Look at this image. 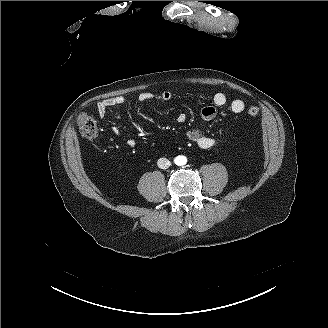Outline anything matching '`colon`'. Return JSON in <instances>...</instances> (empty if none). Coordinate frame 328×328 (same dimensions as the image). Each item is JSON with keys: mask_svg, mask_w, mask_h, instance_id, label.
Listing matches in <instances>:
<instances>
[{"mask_svg": "<svg viewBox=\"0 0 328 328\" xmlns=\"http://www.w3.org/2000/svg\"><path fill=\"white\" fill-rule=\"evenodd\" d=\"M259 108L251 106L247 109V114L251 117L257 116ZM77 124L81 134L87 138L92 139L97 135V124L92 116L87 113H81L78 117Z\"/></svg>", "mask_w": 328, "mask_h": 328, "instance_id": "5ec220e1", "label": "colon"}]
</instances>
